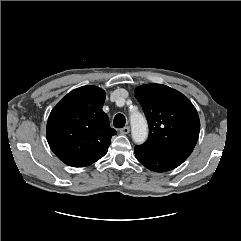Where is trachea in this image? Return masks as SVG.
Segmentation results:
<instances>
[{
    "label": "trachea",
    "instance_id": "trachea-1",
    "mask_svg": "<svg viewBox=\"0 0 241 241\" xmlns=\"http://www.w3.org/2000/svg\"><path fill=\"white\" fill-rule=\"evenodd\" d=\"M125 123H126V119H125V116L123 114H117L114 117L113 124H114L115 128H122V127L125 126Z\"/></svg>",
    "mask_w": 241,
    "mask_h": 241
}]
</instances>
